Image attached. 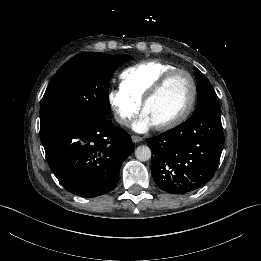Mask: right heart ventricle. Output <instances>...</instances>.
Instances as JSON below:
<instances>
[{"label": "right heart ventricle", "mask_w": 261, "mask_h": 261, "mask_svg": "<svg viewBox=\"0 0 261 261\" xmlns=\"http://www.w3.org/2000/svg\"><path fill=\"white\" fill-rule=\"evenodd\" d=\"M175 66L161 60H146L126 68L120 74V87L141 103L152 86Z\"/></svg>", "instance_id": "obj_1"}]
</instances>
